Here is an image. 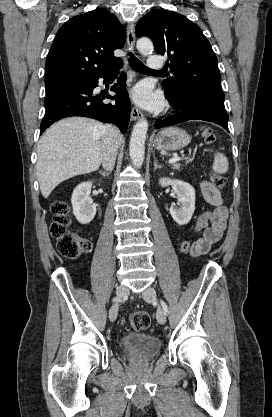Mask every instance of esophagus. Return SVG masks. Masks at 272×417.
Returning a JSON list of instances; mask_svg holds the SVG:
<instances>
[{
  "label": "esophagus",
  "instance_id": "obj_1",
  "mask_svg": "<svg viewBox=\"0 0 272 417\" xmlns=\"http://www.w3.org/2000/svg\"><path fill=\"white\" fill-rule=\"evenodd\" d=\"M127 45L129 49L134 53L135 50V28L133 23H129L127 26ZM142 116V112L133 106L131 110V119L133 121L138 120Z\"/></svg>",
  "mask_w": 272,
  "mask_h": 417
}]
</instances>
